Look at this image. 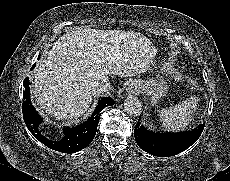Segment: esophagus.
<instances>
[{"label":"esophagus","instance_id":"obj_1","mask_svg":"<svg viewBox=\"0 0 230 181\" xmlns=\"http://www.w3.org/2000/svg\"><path fill=\"white\" fill-rule=\"evenodd\" d=\"M140 93V87L138 83H131L127 88H126V95L128 96H134Z\"/></svg>","mask_w":230,"mask_h":181}]
</instances>
